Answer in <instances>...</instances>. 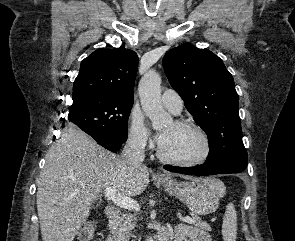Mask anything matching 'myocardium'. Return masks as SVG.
I'll use <instances>...</instances> for the list:
<instances>
[{
    "label": "myocardium",
    "instance_id": "myocardium-1",
    "mask_svg": "<svg viewBox=\"0 0 295 241\" xmlns=\"http://www.w3.org/2000/svg\"><path fill=\"white\" fill-rule=\"evenodd\" d=\"M174 125L180 128H190L195 130L203 142V147H204L203 152L198 158L194 160H189V161L178 160L165 155L160 143L157 149V156L159 157V159L165 163L179 166V167H196L207 162L212 155L213 146H212L211 138L206 132V130L202 126H200L199 124L193 121L178 120L174 122Z\"/></svg>",
    "mask_w": 295,
    "mask_h": 241
}]
</instances>
